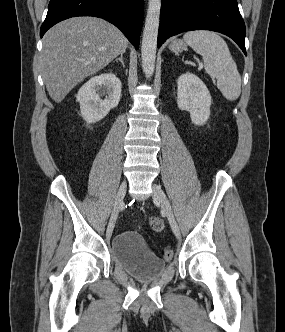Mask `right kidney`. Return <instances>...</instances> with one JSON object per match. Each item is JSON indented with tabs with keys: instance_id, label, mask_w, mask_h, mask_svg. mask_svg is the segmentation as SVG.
I'll use <instances>...</instances> for the list:
<instances>
[{
	"instance_id": "1",
	"label": "right kidney",
	"mask_w": 285,
	"mask_h": 332,
	"mask_svg": "<svg viewBox=\"0 0 285 332\" xmlns=\"http://www.w3.org/2000/svg\"><path fill=\"white\" fill-rule=\"evenodd\" d=\"M121 87L120 79L113 73L92 77L76 95L82 118L87 123H96L103 119L119 104ZM104 95L108 96L102 100L101 96Z\"/></svg>"
}]
</instances>
